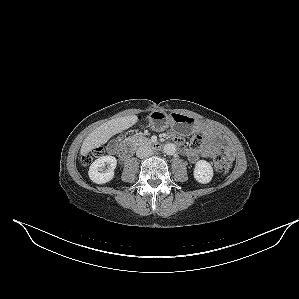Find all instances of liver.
Instances as JSON below:
<instances>
[{
	"instance_id": "liver-1",
	"label": "liver",
	"mask_w": 299,
	"mask_h": 299,
	"mask_svg": "<svg viewBox=\"0 0 299 299\" xmlns=\"http://www.w3.org/2000/svg\"><path fill=\"white\" fill-rule=\"evenodd\" d=\"M138 121L136 115L109 120L93 130L83 141L80 154L86 156L95 148L105 144L112 136L132 127Z\"/></svg>"
}]
</instances>
